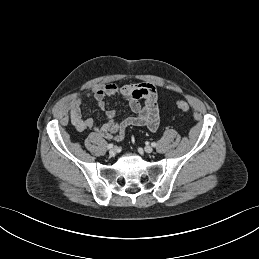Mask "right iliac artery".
Returning a JSON list of instances; mask_svg holds the SVG:
<instances>
[{
    "instance_id": "1",
    "label": "right iliac artery",
    "mask_w": 259,
    "mask_h": 259,
    "mask_svg": "<svg viewBox=\"0 0 259 259\" xmlns=\"http://www.w3.org/2000/svg\"><path fill=\"white\" fill-rule=\"evenodd\" d=\"M113 146H114V145L111 143V144H108L107 148H108V149H111V148H113Z\"/></svg>"
}]
</instances>
